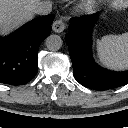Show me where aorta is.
<instances>
[{
    "instance_id": "obj_1",
    "label": "aorta",
    "mask_w": 128,
    "mask_h": 128,
    "mask_svg": "<svg viewBox=\"0 0 128 128\" xmlns=\"http://www.w3.org/2000/svg\"><path fill=\"white\" fill-rule=\"evenodd\" d=\"M63 41L60 36L52 34L46 38V46L50 51H57L62 47Z\"/></svg>"
}]
</instances>
